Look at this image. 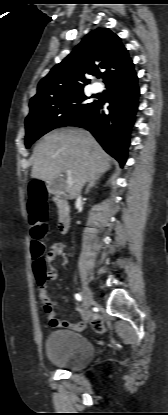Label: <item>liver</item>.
<instances>
[{
    "mask_svg": "<svg viewBox=\"0 0 168 415\" xmlns=\"http://www.w3.org/2000/svg\"><path fill=\"white\" fill-rule=\"evenodd\" d=\"M111 161L88 131L61 128L46 134L35 147L31 177L51 181L70 170L73 199L86 182L109 170Z\"/></svg>",
    "mask_w": 168,
    "mask_h": 415,
    "instance_id": "liver-1",
    "label": "liver"
}]
</instances>
